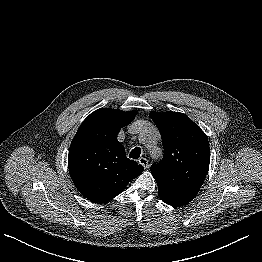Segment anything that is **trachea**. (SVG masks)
Here are the masks:
<instances>
[{
    "label": "trachea",
    "mask_w": 262,
    "mask_h": 262,
    "mask_svg": "<svg viewBox=\"0 0 262 262\" xmlns=\"http://www.w3.org/2000/svg\"><path fill=\"white\" fill-rule=\"evenodd\" d=\"M140 154H141V149L139 147H135L130 152L129 157L133 159H138L140 157Z\"/></svg>",
    "instance_id": "obj_1"
}]
</instances>
